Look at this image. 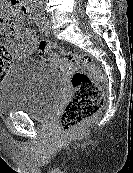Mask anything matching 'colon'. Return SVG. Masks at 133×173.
<instances>
[{
    "label": "colon",
    "instance_id": "colon-1",
    "mask_svg": "<svg viewBox=\"0 0 133 173\" xmlns=\"http://www.w3.org/2000/svg\"><path fill=\"white\" fill-rule=\"evenodd\" d=\"M7 24L13 32L15 29L13 20H7ZM57 56L54 44L48 41L39 44V58L50 60ZM64 57L74 70L71 78L74 91L61 113L60 126L63 131L70 133L95 116L103 105L101 84L104 81V74L88 55L66 51ZM10 61L8 51L0 45V78L5 75Z\"/></svg>",
    "mask_w": 133,
    "mask_h": 173
}]
</instances>
